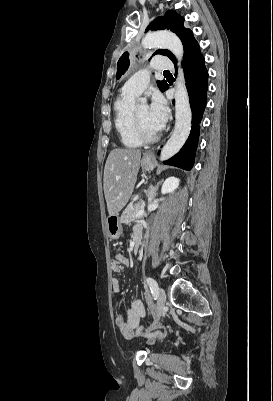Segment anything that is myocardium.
I'll return each instance as SVG.
<instances>
[{"mask_svg":"<svg viewBox=\"0 0 273 401\" xmlns=\"http://www.w3.org/2000/svg\"><path fill=\"white\" fill-rule=\"evenodd\" d=\"M132 121H133V126H134V129H135L138 137L143 142H152L158 138L159 133L157 131L156 132H148L143 128V126L141 125V123L137 117L135 110L132 111Z\"/></svg>","mask_w":273,"mask_h":401,"instance_id":"f54148a6","label":"myocardium"}]
</instances>
